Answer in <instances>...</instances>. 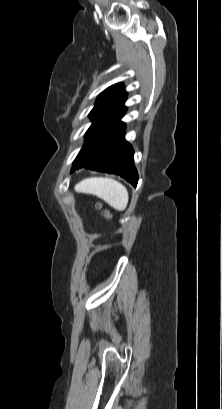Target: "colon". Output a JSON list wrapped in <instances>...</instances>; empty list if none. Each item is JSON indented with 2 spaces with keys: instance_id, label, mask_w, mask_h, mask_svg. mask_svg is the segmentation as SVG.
Listing matches in <instances>:
<instances>
[{
  "instance_id": "colon-1",
  "label": "colon",
  "mask_w": 222,
  "mask_h": 409,
  "mask_svg": "<svg viewBox=\"0 0 222 409\" xmlns=\"http://www.w3.org/2000/svg\"><path fill=\"white\" fill-rule=\"evenodd\" d=\"M99 208H101V205H99ZM103 214L106 218H111V214L108 211H103Z\"/></svg>"
}]
</instances>
